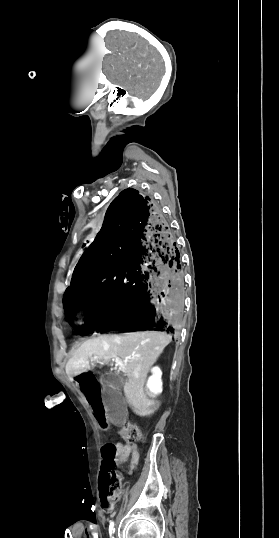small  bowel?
Wrapping results in <instances>:
<instances>
[{"label":"small bowel","mask_w":279,"mask_h":538,"mask_svg":"<svg viewBox=\"0 0 279 538\" xmlns=\"http://www.w3.org/2000/svg\"><path fill=\"white\" fill-rule=\"evenodd\" d=\"M114 446L117 450L116 462L118 464H123L129 461L130 467L133 468L138 460L136 447L134 445H124L121 443H117Z\"/></svg>","instance_id":"c3829d8e"}]
</instances>
